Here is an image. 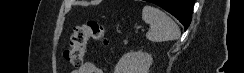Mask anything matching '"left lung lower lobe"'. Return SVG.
Segmentation results:
<instances>
[{"instance_id": "left-lung-lower-lobe-1", "label": "left lung lower lobe", "mask_w": 244, "mask_h": 73, "mask_svg": "<svg viewBox=\"0 0 244 73\" xmlns=\"http://www.w3.org/2000/svg\"><path fill=\"white\" fill-rule=\"evenodd\" d=\"M175 16L188 28L191 22L194 0H148Z\"/></svg>"}]
</instances>
